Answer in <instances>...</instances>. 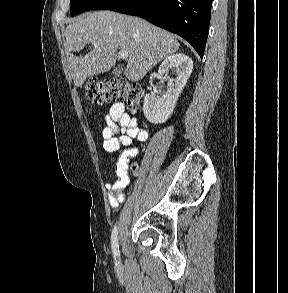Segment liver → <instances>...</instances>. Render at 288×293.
Returning a JSON list of instances; mask_svg holds the SVG:
<instances>
[{"label":"liver","mask_w":288,"mask_h":293,"mask_svg":"<svg viewBox=\"0 0 288 293\" xmlns=\"http://www.w3.org/2000/svg\"><path fill=\"white\" fill-rule=\"evenodd\" d=\"M65 37L70 71L77 87L88 77L109 71L116 63L118 49L128 52L125 77L137 82L180 47L173 35L144 19L108 10L73 19L66 27ZM90 43L94 49L86 55L73 54Z\"/></svg>","instance_id":"1"}]
</instances>
